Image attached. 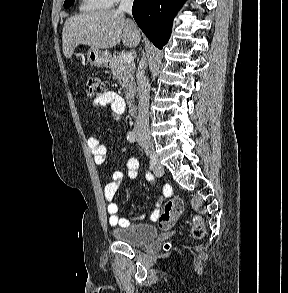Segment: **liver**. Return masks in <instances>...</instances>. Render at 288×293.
I'll list each match as a JSON object with an SVG mask.
<instances>
[{"instance_id": "6515ba94", "label": "liver", "mask_w": 288, "mask_h": 293, "mask_svg": "<svg viewBox=\"0 0 288 293\" xmlns=\"http://www.w3.org/2000/svg\"><path fill=\"white\" fill-rule=\"evenodd\" d=\"M141 40L140 33L131 19H126L124 12L101 10L69 17L62 31L63 53L71 58L74 49L88 45L94 49H109L121 41L129 48L136 47Z\"/></svg>"}]
</instances>
